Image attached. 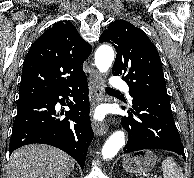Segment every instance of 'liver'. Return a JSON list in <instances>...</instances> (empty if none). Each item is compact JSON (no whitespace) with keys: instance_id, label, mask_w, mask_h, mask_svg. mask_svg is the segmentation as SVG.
Returning a JSON list of instances; mask_svg holds the SVG:
<instances>
[{"instance_id":"6515ba94","label":"liver","mask_w":194,"mask_h":178,"mask_svg":"<svg viewBox=\"0 0 194 178\" xmlns=\"http://www.w3.org/2000/svg\"><path fill=\"white\" fill-rule=\"evenodd\" d=\"M75 161L65 152L44 144L15 150L9 161L8 178H66Z\"/></svg>"}]
</instances>
